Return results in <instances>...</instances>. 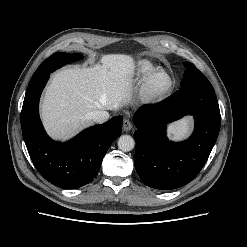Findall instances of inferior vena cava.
Returning a JSON list of instances; mask_svg holds the SVG:
<instances>
[{
    "label": "inferior vena cava",
    "mask_w": 247,
    "mask_h": 247,
    "mask_svg": "<svg viewBox=\"0 0 247 247\" xmlns=\"http://www.w3.org/2000/svg\"><path fill=\"white\" fill-rule=\"evenodd\" d=\"M88 115L96 123H104L109 118V113L104 110H95L90 112Z\"/></svg>",
    "instance_id": "obj_1"
}]
</instances>
